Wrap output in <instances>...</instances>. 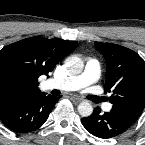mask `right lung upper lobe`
I'll use <instances>...</instances> for the list:
<instances>
[{"label":"right lung upper lobe","instance_id":"obj_1","mask_svg":"<svg viewBox=\"0 0 145 145\" xmlns=\"http://www.w3.org/2000/svg\"><path fill=\"white\" fill-rule=\"evenodd\" d=\"M78 42L31 37L0 50V106L39 96L38 77L76 49Z\"/></svg>","mask_w":145,"mask_h":145}]
</instances>
